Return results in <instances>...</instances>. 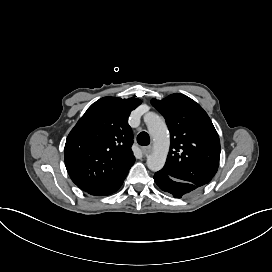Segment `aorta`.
Masks as SVG:
<instances>
[{
  "instance_id": "aorta-1",
  "label": "aorta",
  "mask_w": 272,
  "mask_h": 272,
  "mask_svg": "<svg viewBox=\"0 0 272 272\" xmlns=\"http://www.w3.org/2000/svg\"><path fill=\"white\" fill-rule=\"evenodd\" d=\"M146 124L149 136L153 141V151L147 156V166L152 171L160 170L167 159L170 146V136L167 125L163 119L154 113H148Z\"/></svg>"
}]
</instances>
